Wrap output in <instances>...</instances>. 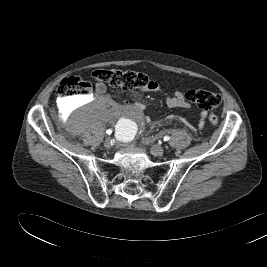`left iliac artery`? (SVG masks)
<instances>
[{"instance_id": "left-iliac-artery-1", "label": "left iliac artery", "mask_w": 267, "mask_h": 267, "mask_svg": "<svg viewBox=\"0 0 267 267\" xmlns=\"http://www.w3.org/2000/svg\"><path fill=\"white\" fill-rule=\"evenodd\" d=\"M169 139H170V136H168V135L164 136V138H163L164 141H168Z\"/></svg>"}]
</instances>
